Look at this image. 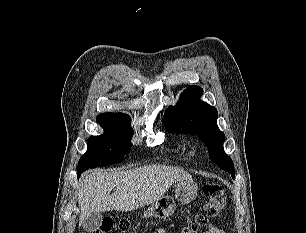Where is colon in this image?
Returning a JSON list of instances; mask_svg holds the SVG:
<instances>
[{"label":"colon","instance_id":"1","mask_svg":"<svg viewBox=\"0 0 306 233\" xmlns=\"http://www.w3.org/2000/svg\"><path fill=\"white\" fill-rule=\"evenodd\" d=\"M202 192L206 197V202L203 205L202 213L192 223L188 230L190 233H195L209 220L217 218L226 206V194L219 183L206 181L202 184ZM130 227V222L120 220L115 222L112 219H106L102 222L98 230L93 233H112L120 231L125 233Z\"/></svg>","mask_w":306,"mask_h":233}]
</instances>
